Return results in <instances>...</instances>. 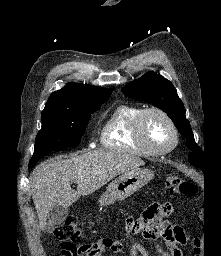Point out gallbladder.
<instances>
[{
	"label": "gallbladder",
	"mask_w": 221,
	"mask_h": 256,
	"mask_svg": "<svg viewBox=\"0 0 221 256\" xmlns=\"http://www.w3.org/2000/svg\"><path fill=\"white\" fill-rule=\"evenodd\" d=\"M68 215V208L54 205L48 212V222L44 227L45 232H52L56 225L61 224Z\"/></svg>",
	"instance_id": "obj_1"
}]
</instances>
